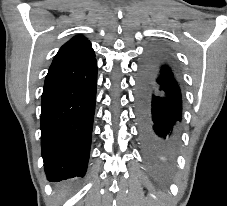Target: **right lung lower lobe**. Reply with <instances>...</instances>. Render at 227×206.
<instances>
[{"label": "right lung lower lobe", "mask_w": 227, "mask_h": 206, "mask_svg": "<svg viewBox=\"0 0 227 206\" xmlns=\"http://www.w3.org/2000/svg\"><path fill=\"white\" fill-rule=\"evenodd\" d=\"M95 56L49 70L42 94L41 147L49 181L86 173L95 111Z\"/></svg>", "instance_id": "98d812e1"}]
</instances>
